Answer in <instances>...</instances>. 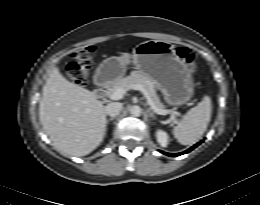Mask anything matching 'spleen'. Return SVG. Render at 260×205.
<instances>
[{
	"instance_id": "1",
	"label": "spleen",
	"mask_w": 260,
	"mask_h": 205,
	"mask_svg": "<svg viewBox=\"0 0 260 205\" xmlns=\"http://www.w3.org/2000/svg\"><path fill=\"white\" fill-rule=\"evenodd\" d=\"M211 99L204 96L197 106L191 108L174 127L173 134L182 145L194 144L206 131L211 118Z\"/></svg>"
}]
</instances>
